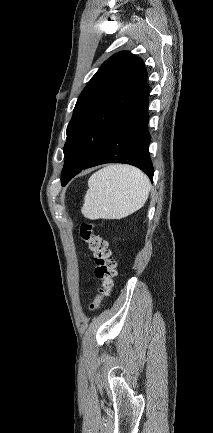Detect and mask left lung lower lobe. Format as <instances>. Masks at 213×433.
Masks as SVG:
<instances>
[{"label": "left lung lower lobe", "instance_id": "0a47b994", "mask_svg": "<svg viewBox=\"0 0 213 433\" xmlns=\"http://www.w3.org/2000/svg\"><path fill=\"white\" fill-rule=\"evenodd\" d=\"M148 95L149 87L146 84L112 127L96 154L82 169L105 163H125L138 167L153 180L154 170L148 150L151 139L147 127Z\"/></svg>", "mask_w": 213, "mask_h": 433}]
</instances>
